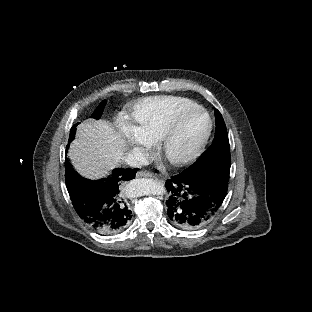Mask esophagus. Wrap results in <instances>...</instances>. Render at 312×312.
Wrapping results in <instances>:
<instances>
[{
    "instance_id": "esophagus-1",
    "label": "esophagus",
    "mask_w": 312,
    "mask_h": 312,
    "mask_svg": "<svg viewBox=\"0 0 312 312\" xmlns=\"http://www.w3.org/2000/svg\"><path fill=\"white\" fill-rule=\"evenodd\" d=\"M136 177L137 178L148 177V178L157 179V177H155V175L153 173H151L149 171H144V170L138 171L136 174Z\"/></svg>"
}]
</instances>
